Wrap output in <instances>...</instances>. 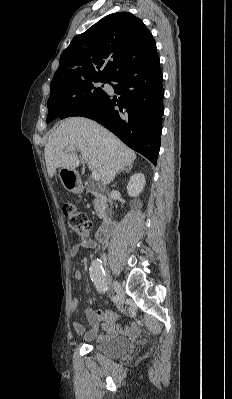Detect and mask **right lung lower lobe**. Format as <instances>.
<instances>
[{"label": "right lung lower lobe", "mask_w": 232, "mask_h": 399, "mask_svg": "<svg viewBox=\"0 0 232 399\" xmlns=\"http://www.w3.org/2000/svg\"><path fill=\"white\" fill-rule=\"evenodd\" d=\"M162 79L160 60L155 51L145 59L124 67L109 79L116 82L111 85L114 92L120 95L118 99L107 94L99 104L70 116L87 117L99 122L156 165L164 112ZM58 117L66 118L63 113Z\"/></svg>", "instance_id": "right-lung-lower-lobe-1"}]
</instances>
